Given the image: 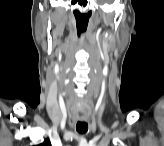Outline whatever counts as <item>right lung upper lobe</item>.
Here are the masks:
<instances>
[{"label":"right lung upper lobe","mask_w":164,"mask_h":146,"mask_svg":"<svg viewBox=\"0 0 164 146\" xmlns=\"http://www.w3.org/2000/svg\"><path fill=\"white\" fill-rule=\"evenodd\" d=\"M40 146H50L49 140H45Z\"/></svg>","instance_id":"cb5924a9"}]
</instances>
